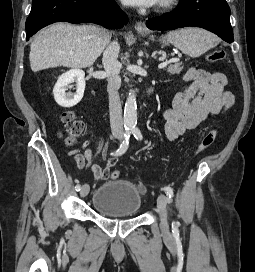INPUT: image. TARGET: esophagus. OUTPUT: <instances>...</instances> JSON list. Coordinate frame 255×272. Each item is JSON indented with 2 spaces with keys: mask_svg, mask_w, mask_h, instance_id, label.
Listing matches in <instances>:
<instances>
[{
  "mask_svg": "<svg viewBox=\"0 0 255 272\" xmlns=\"http://www.w3.org/2000/svg\"><path fill=\"white\" fill-rule=\"evenodd\" d=\"M135 30L137 32H140V33H146L147 32V28H146V26L144 25V23L142 21H137L135 23Z\"/></svg>",
  "mask_w": 255,
  "mask_h": 272,
  "instance_id": "1",
  "label": "esophagus"
}]
</instances>
